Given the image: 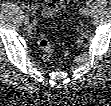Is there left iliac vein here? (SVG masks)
Here are the masks:
<instances>
[{
	"label": "left iliac vein",
	"mask_w": 111,
	"mask_h": 106,
	"mask_svg": "<svg viewBox=\"0 0 111 106\" xmlns=\"http://www.w3.org/2000/svg\"><path fill=\"white\" fill-rule=\"evenodd\" d=\"M83 16H87L89 14V9L88 8H84L82 10V13H81Z\"/></svg>",
	"instance_id": "4c4485c4"
}]
</instances>
